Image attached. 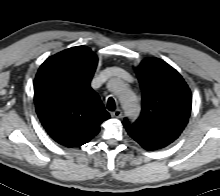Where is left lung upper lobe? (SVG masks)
<instances>
[{
    "label": "left lung upper lobe",
    "mask_w": 220,
    "mask_h": 196,
    "mask_svg": "<svg viewBox=\"0 0 220 196\" xmlns=\"http://www.w3.org/2000/svg\"><path fill=\"white\" fill-rule=\"evenodd\" d=\"M136 73L142 89V111L134 123L124 119L123 125L147 149H162L179 137L188 122L190 89L174 68L158 58L143 60Z\"/></svg>",
    "instance_id": "obj_1"
}]
</instances>
